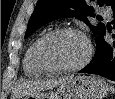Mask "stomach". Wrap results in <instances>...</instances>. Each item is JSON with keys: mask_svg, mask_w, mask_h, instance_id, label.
I'll list each match as a JSON object with an SVG mask.
<instances>
[{"mask_svg": "<svg viewBox=\"0 0 115 99\" xmlns=\"http://www.w3.org/2000/svg\"><path fill=\"white\" fill-rule=\"evenodd\" d=\"M107 90V83L100 77L76 76L54 91L27 94L23 99H102Z\"/></svg>", "mask_w": 115, "mask_h": 99, "instance_id": "obj_1", "label": "stomach"}]
</instances>
